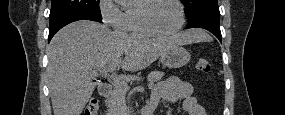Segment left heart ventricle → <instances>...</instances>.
<instances>
[{
	"mask_svg": "<svg viewBox=\"0 0 285 115\" xmlns=\"http://www.w3.org/2000/svg\"><path fill=\"white\" fill-rule=\"evenodd\" d=\"M149 23L157 30L169 32L179 24L178 7L171 1H157L146 11Z\"/></svg>",
	"mask_w": 285,
	"mask_h": 115,
	"instance_id": "obj_1",
	"label": "left heart ventricle"
}]
</instances>
